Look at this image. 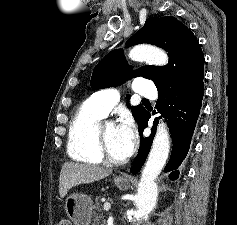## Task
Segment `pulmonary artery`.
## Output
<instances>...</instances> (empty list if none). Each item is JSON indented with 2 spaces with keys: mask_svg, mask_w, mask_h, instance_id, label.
<instances>
[{
  "mask_svg": "<svg viewBox=\"0 0 237 225\" xmlns=\"http://www.w3.org/2000/svg\"><path fill=\"white\" fill-rule=\"evenodd\" d=\"M134 90L142 96L155 99L156 87L152 82L145 79H138L134 83ZM120 98V92L117 88H107L95 92L91 99L97 109L104 115H107L110 110L117 104Z\"/></svg>",
  "mask_w": 237,
  "mask_h": 225,
  "instance_id": "pulmonary-artery-1",
  "label": "pulmonary artery"
}]
</instances>
